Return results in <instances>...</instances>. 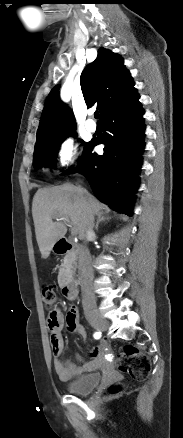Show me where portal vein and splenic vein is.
<instances>
[{"label": "portal vein and splenic vein", "instance_id": "portal-vein-and-splenic-vein-1", "mask_svg": "<svg viewBox=\"0 0 183 438\" xmlns=\"http://www.w3.org/2000/svg\"><path fill=\"white\" fill-rule=\"evenodd\" d=\"M56 220H57V221H60V220H67V218H65V217H60V216H57V217H56ZM75 233H76L75 229H74V228H72V234H75Z\"/></svg>", "mask_w": 183, "mask_h": 438}]
</instances>
